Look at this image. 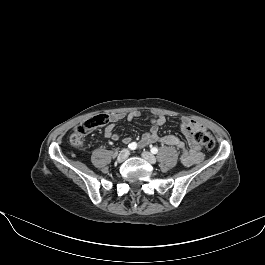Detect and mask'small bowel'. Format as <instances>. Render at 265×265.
<instances>
[{
    "label": "small bowel",
    "mask_w": 265,
    "mask_h": 265,
    "mask_svg": "<svg viewBox=\"0 0 265 265\" xmlns=\"http://www.w3.org/2000/svg\"><path fill=\"white\" fill-rule=\"evenodd\" d=\"M141 113L137 110L131 111L128 114L124 113H113L109 116V124L105 127L104 136L108 139L117 141L120 139V135L114 133L115 124L126 118L129 121L134 120L139 117ZM166 119L163 115L154 114L150 118V128L145 132L138 145L139 147H145L153 143H161L168 146H173L177 148L180 152V158L185 166H191L193 164L199 163L203 155L200 150V146L195 139V134L199 130H204V126L193 119L184 117L179 123V128L183 135L186 137L187 144L179 137L174 135H168L161 137L158 134V129L165 123ZM123 141L125 143L130 142L129 137H124Z\"/></svg>",
    "instance_id": "small-bowel-1"
}]
</instances>
